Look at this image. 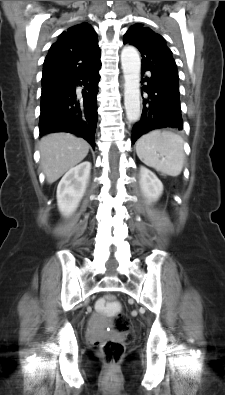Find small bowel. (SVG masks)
<instances>
[{
  "label": "small bowel",
  "instance_id": "c3829d8e",
  "mask_svg": "<svg viewBox=\"0 0 225 395\" xmlns=\"http://www.w3.org/2000/svg\"><path fill=\"white\" fill-rule=\"evenodd\" d=\"M96 308L100 312H106L107 315H121L124 306L122 300H113L111 304H106V300L102 298L97 301Z\"/></svg>",
  "mask_w": 225,
  "mask_h": 395
}]
</instances>
